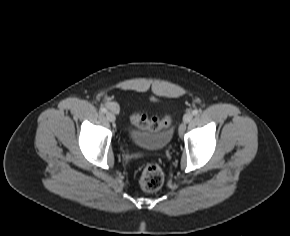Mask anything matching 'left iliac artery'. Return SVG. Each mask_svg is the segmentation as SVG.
I'll list each match as a JSON object with an SVG mask.
<instances>
[{
  "mask_svg": "<svg viewBox=\"0 0 290 236\" xmlns=\"http://www.w3.org/2000/svg\"><path fill=\"white\" fill-rule=\"evenodd\" d=\"M192 113H193V115H197V114L199 113V110H198V109H194V110L192 111Z\"/></svg>",
  "mask_w": 290,
  "mask_h": 236,
  "instance_id": "44dca946",
  "label": "left iliac artery"
}]
</instances>
